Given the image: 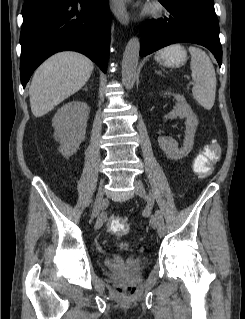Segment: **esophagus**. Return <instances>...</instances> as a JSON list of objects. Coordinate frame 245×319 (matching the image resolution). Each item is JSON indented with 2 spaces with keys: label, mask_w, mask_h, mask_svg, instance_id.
<instances>
[{
  "label": "esophagus",
  "mask_w": 245,
  "mask_h": 319,
  "mask_svg": "<svg viewBox=\"0 0 245 319\" xmlns=\"http://www.w3.org/2000/svg\"><path fill=\"white\" fill-rule=\"evenodd\" d=\"M110 7L115 17L123 24L128 25L129 16L124 0H110Z\"/></svg>",
  "instance_id": "34e87169"
}]
</instances>
